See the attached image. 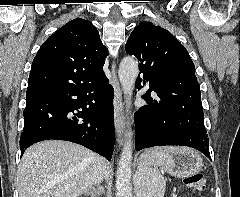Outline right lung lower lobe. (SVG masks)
<instances>
[{"mask_svg":"<svg viewBox=\"0 0 240 197\" xmlns=\"http://www.w3.org/2000/svg\"><path fill=\"white\" fill-rule=\"evenodd\" d=\"M113 97L106 76L80 86L58 85L26 94L21 156L34 143L59 139L83 145L111 160L115 142Z\"/></svg>","mask_w":240,"mask_h":197,"instance_id":"right-lung-lower-lobe-1","label":"right lung lower lobe"}]
</instances>
